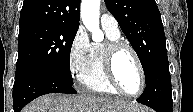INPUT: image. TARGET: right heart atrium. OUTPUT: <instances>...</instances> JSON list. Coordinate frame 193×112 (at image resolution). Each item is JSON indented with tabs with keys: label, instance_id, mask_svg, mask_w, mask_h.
I'll return each mask as SVG.
<instances>
[{
	"label": "right heart atrium",
	"instance_id": "1",
	"mask_svg": "<svg viewBox=\"0 0 193 112\" xmlns=\"http://www.w3.org/2000/svg\"><path fill=\"white\" fill-rule=\"evenodd\" d=\"M91 49V43L86 30L79 27L69 45L68 68L73 76H80L85 69Z\"/></svg>",
	"mask_w": 193,
	"mask_h": 112
}]
</instances>
